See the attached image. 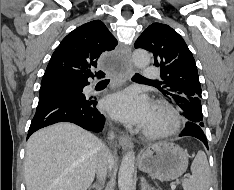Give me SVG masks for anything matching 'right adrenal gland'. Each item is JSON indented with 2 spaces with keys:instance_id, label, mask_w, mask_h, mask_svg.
<instances>
[{
  "instance_id": "1",
  "label": "right adrenal gland",
  "mask_w": 234,
  "mask_h": 190,
  "mask_svg": "<svg viewBox=\"0 0 234 190\" xmlns=\"http://www.w3.org/2000/svg\"><path fill=\"white\" fill-rule=\"evenodd\" d=\"M91 189L102 190V183H100V184H97V183L93 184V185L89 188V190H91Z\"/></svg>"
}]
</instances>
